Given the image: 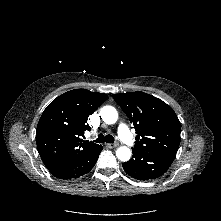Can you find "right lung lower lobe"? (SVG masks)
<instances>
[{
	"label": "right lung lower lobe",
	"mask_w": 221,
	"mask_h": 221,
	"mask_svg": "<svg viewBox=\"0 0 221 221\" xmlns=\"http://www.w3.org/2000/svg\"><path fill=\"white\" fill-rule=\"evenodd\" d=\"M102 149L101 145H97L63 161L56 168L49 171L59 179L70 180L79 178L94 167Z\"/></svg>",
	"instance_id": "right-lung-lower-lobe-1"
}]
</instances>
